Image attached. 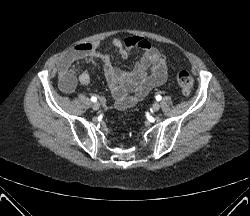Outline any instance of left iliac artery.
I'll return each mask as SVG.
<instances>
[{"label": "left iliac artery", "mask_w": 250, "mask_h": 216, "mask_svg": "<svg viewBox=\"0 0 250 216\" xmlns=\"http://www.w3.org/2000/svg\"><path fill=\"white\" fill-rule=\"evenodd\" d=\"M161 98H162V97H161L160 95H157V96H156V100H157V101H160Z\"/></svg>", "instance_id": "left-iliac-artery-1"}]
</instances>
